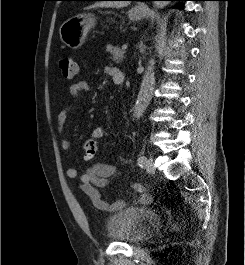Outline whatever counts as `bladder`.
Instances as JSON below:
<instances>
[{"mask_svg":"<svg viewBox=\"0 0 245 265\" xmlns=\"http://www.w3.org/2000/svg\"><path fill=\"white\" fill-rule=\"evenodd\" d=\"M160 221V215L150 207H129L108 218L106 235L120 243H141L154 235Z\"/></svg>","mask_w":245,"mask_h":265,"instance_id":"bladder-1","label":"bladder"}]
</instances>
